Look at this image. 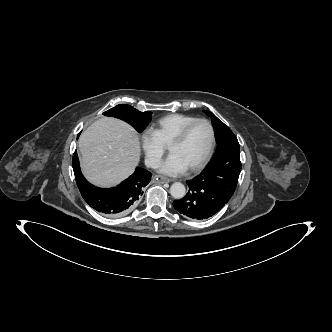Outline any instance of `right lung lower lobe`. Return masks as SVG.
<instances>
[{
    "label": "right lung lower lobe",
    "mask_w": 332,
    "mask_h": 332,
    "mask_svg": "<svg viewBox=\"0 0 332 332\" xmlns=\"http://www.w3.org/2000/svg\"><path fill=\"white\" fill-rule=\"evenodd\" d=\"M73 171L79 191L84 200L103 216L116 218L133 211L150 182L151 173L137 167L135 172L120 185L102 189L90 184L82 175L77 153L72 160Z\"/></svg>",
    "instance_id": "98d812e1"
}]
</instances>
